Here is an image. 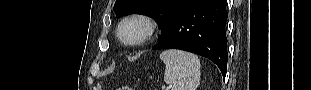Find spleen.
Segmentation results:
<instances>
[{"label":"spleen","instance_id":"spleen-1","mask_svg":"<svg viewBox=\"0 0 311 90\" xmlns=\"http://www.w3.org/2000/svg\"><path fill=\"white\" fill-rule=\"evenodd\" d=\"M160 59L166 68L164 81L171 90H196L200 84V60L189 52L182 50H165Z\"/></svg>","mask_w":311,"mask_h":90}]
</instances>
